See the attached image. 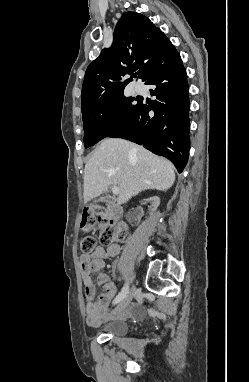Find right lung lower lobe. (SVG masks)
I'll return each instance as SVG.
<instances>
[{
    "mask_svg": "<svg viewBox=\"0 0 249 382\" xmlns=\"http://www.w3.org/2000/svg\"><path fill=\"white\" fill-rule=\"evenodd\" d=\"M145 84L152 85L151 101L141 97L134 116L108 137L123 138L170 159L181 173L187 163L190 140L189 95L180 55L151 72ZM153 111L154 114L150 113Z\"/></svg>",
    "mask_w": 249,
    "mask_h": 382,
    "instance_id": "1",
    "label": "right lung lower lobe"
}]
</instances>
